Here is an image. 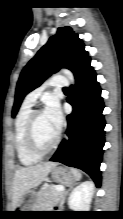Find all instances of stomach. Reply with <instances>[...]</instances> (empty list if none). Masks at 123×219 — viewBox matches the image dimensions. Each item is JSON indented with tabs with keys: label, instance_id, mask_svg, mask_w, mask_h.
Listing matches in <instances>:
<instances>
[{
	"label": "stomach",
	"instance_id": "obj_1",
	"mask_svg": "<svg viewBox=\"0 0 123 219\" xmlns=\"http://www.w3.org/2000/svg\"><path fill=\"white\" fill-rule=\"evenodd\" d=\"M51 175L55 181L61 184H72L76 180L71 171L61 166H54L51 169ZM37 204V194L34 191H29L26 199L20 203L22 209H25L21 211H35L34 209L37 208Z\"/></svg>",
	"mask_w": 123,
	"mask_h": 219
}]
</instances>
